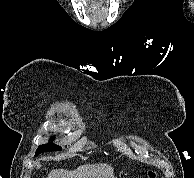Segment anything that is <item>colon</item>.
I'll use <instances>...</instances> for the list:
<instances>
[{
	"label": "colon",
	"instance_id": "1",
	"mask_svg": "<svg viewBox=\"0 0 194 178\" xmlns=\"http://www.w3.org/2000/svg\"><path fill=\"white\" fill-rule=\"evenodd\" d=\"M148 175H149V178H155V176H156L155 172H153V171H150L148 173Z\"/></svg>",
	"mask_w": 194,
	"mask_h": 178
}]
</instances>
